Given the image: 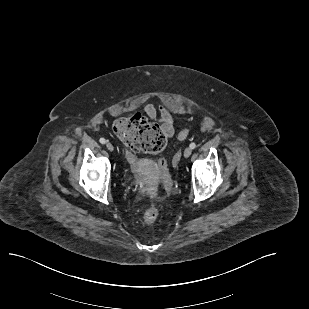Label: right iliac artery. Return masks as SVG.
<instances>
[{"label": "right iliac artery", "mask_w": 309, "mask_h": 309, "mask_svg": "<svg viewBox=\"0 0 309 309\" xmlns=\"http://www.w3.org/2000/svg\"><path fill=\"white\" fill-rule=\"evenodd\" d=\"M99 141H100L101 144H105L106 143V140L104 138H100Z\"/></svg>", "instance_id": "right-iliac-artery-1"}]
</instances>
